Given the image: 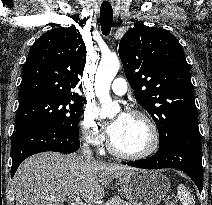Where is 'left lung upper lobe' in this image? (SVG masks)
Returning <instances> with one entry per match:
<instances>
[{
    "instance_id": "obj_1",
    "label": "left lung upper lobe",
    "mask_w": 212,
    "mask_h": 205,
    "mask_svg": "<svg viewBox=\"0 0 212 205\" xmlns=\"http://www.w3.org/2000/svg\"><path fill=\"white\" fill-rule=\"evenodd\" d=\"M119 56L135 98L155 121L164 147L183 124L198 119L190 69L169 31L135 26L119 44Z\"/></svg>"
}]
</instances>
